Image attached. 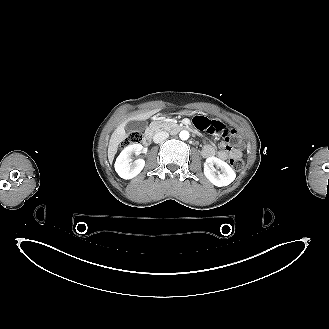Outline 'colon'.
<instances>
[{
    "label": "colon",
    "mask_w": 329,
    "mask_h": 329,
    "mask_svg": "<svg viewBox=\"0 0 329 329\" xmlns=\"http://www.w3.org/2000/svg\"><path fill=\"white\" fill-rule=\"evenodd\" d=\"M201 116V115H200ZM142 140V133L139 130L131 131L128 133L125 140L121 143V147H127L129 145L140 143ZM225 147H231L232 145L241 147L243 145L242 139L236 135V133L233 131L232 134L229 136L227 141H224ZM230 165L234 170H241L244 166V162L240 158H231L230 159Z\"/></svg>",
    "instance_id": "1"
}]
</instances>
